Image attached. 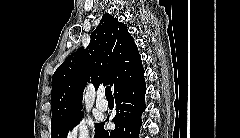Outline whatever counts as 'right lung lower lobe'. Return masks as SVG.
Wrapping results in <instances>:
<instances>
[{
    "label": "right lung lower lobe",
    "mask_w": 240,
    "mask_h": 138,
    "mask_svg": "<svg viewBox=\"0 0 240 138\" xmlns=\"http://www.w3.org/2000/svg\"><path fill=\"white\" fill-rule=\"evenodd\" d=\"M146 85L144 75L119 87L115 92L116 115L113 122L116 127L113 131L104 129V122L100 124L95 138H139L142 125L141 115L145 110L144 95Z\"/></svg>",
    "instance_id": "98d812e1"
}]
</instances>
